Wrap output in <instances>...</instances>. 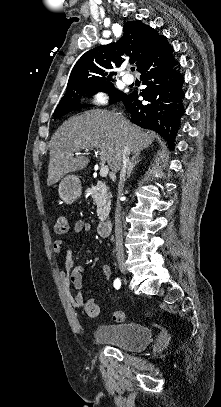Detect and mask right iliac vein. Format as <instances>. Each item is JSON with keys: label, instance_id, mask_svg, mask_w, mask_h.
<instances>
[{"label": "right iliac vein", "instance_id": "right-iliac-vein-1", "mask_svg": "<svg viewBox=\"0 0 221 407\" xmlns=\"http://www.w3.org/2000/svg\"><path fill=\"white\" fill-rule=\"evenodd\" d=\"M119 269H120L121 272H126V267H125V265H123V264H121V265L119 266Z\"/></svg>", "mask_w": 221, "mask_h": 407}]
</instances>
